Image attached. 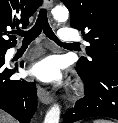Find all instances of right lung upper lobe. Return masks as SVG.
I'll use <instances>...</instances> for the list:
<instances>
[{
  "mask_svg": "<svg viewBox=\"0 0 118 123\" xmlns=\"http://www.w3.org/2000/svg\"><path fill=\"white\" fill-rule=\"evenodd\" d=\"M42 4V0H0V51L15 46L16 37L12 34L19 25L26 27L29 17Z\"/></svg>",
  "mask_w": 118,
  "mask_h": 123,
  "instance_id": "cb5924a9",
  "label": "right lung upper lobe"
}]
</instances>
